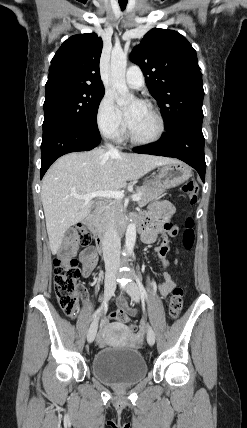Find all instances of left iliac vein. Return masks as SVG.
I'll return each mask as SVG.
<instances>
[{"mask_svg":"<svg viewBox=\"0 0 247 428\" xmlns=\"http://www.w3.org/2000/svg\"><path fill=\"white\" fill-rule=\"evenodd\" d=\"M125 288L134 302L140 301V291L135 282L131 281ZM147 342L151 346L155 343V333L151 326H149L147 330Z\"/></svg>","mask_w":247,"mask_h":428,"instance_id":"1","label":"left iliac vein"}]
</instances>
